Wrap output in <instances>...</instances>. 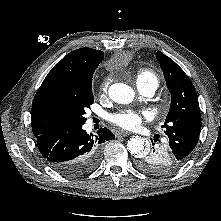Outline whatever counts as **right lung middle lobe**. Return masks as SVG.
I'll return each instance as SVG.
<instances>
[{"instance_id": "dd1d6c3e", "label": "right lung middle lobe", "mask_w": 221, "mask_h": 221, "mask_svg": "<svg viewBox=\"0 0 221 221\" xmlns=\"http://www.w3.org/2000/svg\"><path fill=\"white\" fill-rule=\"evenodd\" d=\"M95 69L82 74L71 90L58 94L54 98V109L64 125L70 129L82 126L86 122V108L94 103L92 77Z\"/></svg>"}]
</instances>
